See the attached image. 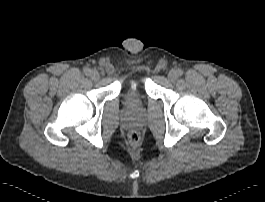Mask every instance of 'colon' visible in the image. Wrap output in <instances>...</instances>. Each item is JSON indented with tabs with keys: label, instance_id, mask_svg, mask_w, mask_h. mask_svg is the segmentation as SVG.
<instances>
[{
	"label": "colon",
	"instance_id": "5ec220e1",
	"mask_svg": "<svg viewBox=\"0 0 265 202\" xmlns=\"http://www.w3.org/2000/svg\"><path fill=\"white\" fill-rule=\"evenodd\" d=\"M129 142L131 144H137L139 141H140V134L136 131H132L130 134H129Z\"/></svg>",
	"mask_w": 265,
	"mask_h": 202
}]
</instances>
